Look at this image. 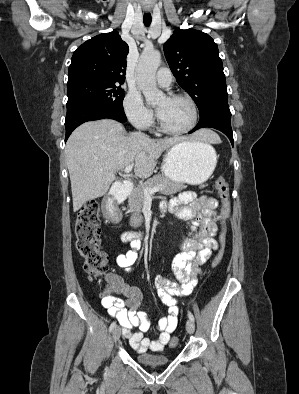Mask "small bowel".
I'll return each mask as SVG.
<instances>
[{
	"label": "small bowel",
	"mask_w": 299,
	"mask_h": 394,
	"mask_svg": "<svg viewBox=\"0 0 299 394\" xmlns=\"http://www.w3.org/2000/svg\"><path fill=\"white\" fill-rule=\"evenodd\" d=\"M162 209L173 213L183 221H191L190 233L181 240L182 252L172 260V270L178 282L171 281L162 276L154 279V286L158 297L168 308V315L162 317L156 328L159 335L156 339L146 338L144 334L149 331L148 315L138 310L142 301V292L138 287L130 286L122 281L118 275L115 293L125 296V299L114 296L102 300V305L112 317H116L123 327V334L128 338L130 345L139 353L162 351L170 341L172 333L178 323V297L189 295L197 283V275L210 258L213 251L218 249L215 235L221 214L218 213V201L209 196H197L192 191L178 194L169 202L162 203ZM130 249L116 257L117 264L130 270L138 259L137 250L141 247V239L130 241ZM138 328V331H134Z\"/></svg>",
	"instance_id": "1"
}]
</instances>
